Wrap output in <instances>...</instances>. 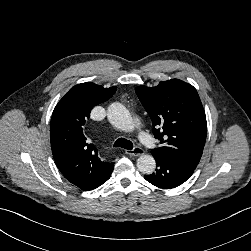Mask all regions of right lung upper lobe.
Listing matches in <instances>:
<instances>
[{"label": "right lung upper lobe", "mask_w": 251, "mask_h": 251, "mask_svg": "<svg viewBox=\"0 0 251 251\" xmlns=\"http://www.w3.org/2000/svg\"><path fill=\"white\" fill-rule=\"evenodd\" d=\"M115 92L116 87L81 83L71 88L53 111L50 124L53 157L65 178L78 188L93 181L111 165L100 160L83 127L92 108L110 99Z\"/></svg>", "instance_id": "obj_1"}]
</instances>
